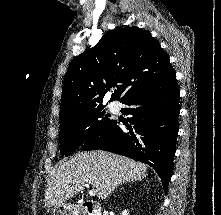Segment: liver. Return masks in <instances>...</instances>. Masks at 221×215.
<instances>
[{
  "label": "liver",
  "instance_id": "6515ba94",
  "mask_svg": "<svg viewBox=\"0 0 221 215\" xmlns=\"http://www.w3.org/2000/svg\"><path fill=\"white\" fill-rule=\"evenodd\" d=\"M147 165L104 151L79 152L62 162L50 174L44 203L46 208L64 203L90 184L105 200L117 186L127 181H141Z\"/></svg>",
  "mask_w": 221,
  "mask_h": 215
}]
</instances>
